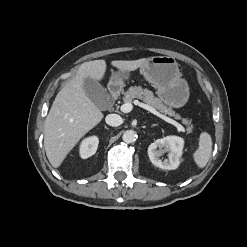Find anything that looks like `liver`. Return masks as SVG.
<instances>
[{
  "mask_svg": "<svg viewBox=\"0 0 247 247\" xmlns=\"http://www.w3.org/2000/svg\"><path fill=\"white\" fill-rule=\"evenodd\" d=\"M145 61L117 60L111 65L119 71L131 72ZM105 72V60L83 63L53 101L44 123V147L53 167L58 168L80 139L103 119V113L87 96L83 86L86 78L102 80Z\"/></svg>",
  "mask_w": 247,
  "mask_h": 247,
  "instance_id": "1",
  "label": "liver"
}]
</instances>
